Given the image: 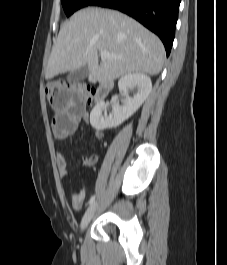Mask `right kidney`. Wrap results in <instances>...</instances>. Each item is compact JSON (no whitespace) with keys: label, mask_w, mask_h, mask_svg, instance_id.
<instances>
[{"label":"right kidney","mask_w":227,"mask_h":265,"mask_svg":"<svg viewBox=\"0 0 227 265\" xmlns=\"http://www.w3.org/2000/svg\"><path fill=\"white\" fill-rule=\"evenodd\" d=\"M118 87L126 94L128 90L137 87L138 92L134 97L126 96L124 105L118 104L113 106L112 113L109 116H103L106 110V104L99 102L95 105L90 113V124L96 130H105L115 128L131 117L143 104L152 90L150 77L143 73H130L120 78Z\"/></svg>","instance_id":"1"}]
</instances>
